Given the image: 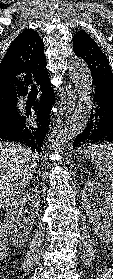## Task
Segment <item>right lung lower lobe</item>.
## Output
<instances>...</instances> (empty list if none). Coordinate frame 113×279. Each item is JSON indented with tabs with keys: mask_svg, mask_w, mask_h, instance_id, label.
I'll list each match as a JSON object with an SVG mask.
<instances>
[{
	"mask_svg": "<svg viewBox=\"0 0 113 279\" xmlns=\"http://www.w3.org/2000/svg\"><path fill=\"white\" fill-rule=\"evenodd\" d=\"M37 83L42 91V97L33 105L37 115V124L32 125L30 123L31 110L17 112L12 120L0 124V141L20 142L40 153L49 126L50 108L54 103V91L51 88L48 74Z\"/></svg>",
	"mask_w": 113,
	"mask_h": 279,
	"instance_id": "98d812e1",
	"label": "right lung lower lobe"
}]
</instances>
